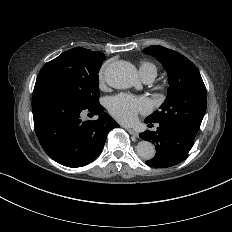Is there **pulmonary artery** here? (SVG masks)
Returning <instances> with one entry per match:
<instances>
[{
  "label": "pulmonary artery",
  "mask_w": 232,
  "mask_h": 232,
  "mask_svg": "<svg viewBox=\"0 0 232 232\" xmlns=\"http://www.w3.org/2000/svg\"><path fill=\"white\" fill-rule=\"evenodd\" d=\"M152 80H153V78H152L151 76H147V77L144 79V81H145L146 83H150Z\"/></svg>",
  "instance_id": "pulmonary-artery-1"
}]
</instances>
